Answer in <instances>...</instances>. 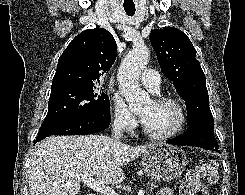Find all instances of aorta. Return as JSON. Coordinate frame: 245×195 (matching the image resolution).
I'll list each match as a JSON object with an SVG mask.
<instances>
[{
  "instance_id": "1",
  "label": "aorta",
  "mask_w": 245,
  "mask_h": 195,
  "mask_svg": "<svg viewBox=\"0 0 245 195\" xmlns=\"http://www.w3.org/2000/svg\"><path fill=\"white\" fill-rule=\"evenodd\" d=\"M149 60V50L144 44L135 45L124 57L118 71V85L133 112L150 102L148 93L139 86V76Z\"/></svg>"
}]
</instances>
